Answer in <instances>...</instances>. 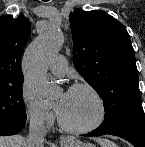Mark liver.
<instances>
[{
	"label": "liver",
	"mask_w": 145,
	"mask_h": 147,
	"mask_svg": "<svg viewBox=\"0 0 145 147\" xmlns=\"http://www.w3.org/2000/svg\"><path fill=\"white\" fill-rule=\"evenodd\" d=\"M97 142H99V144L102 146L107 141L98 139ZM0 147H26V139L20 135L4 137L0 136Z\"/></svg>",
	"instance_id": "obj_1"
}]
</instances>
